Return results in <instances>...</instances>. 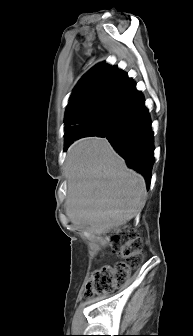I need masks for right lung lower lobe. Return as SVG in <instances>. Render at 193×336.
<instances>
[{
	"label": "right lung lower lobe",
	"instance_id": "obj_1",
	"mask_svg": "<svg viewBox=\"0 0 193 336\" xmlns=\"http://www.w3.org/2000/svg\"><path fill=\"white\" fill-rule=\"evenodd\" d=\"M95 136L106 137L128 167L140 172L150 187L154 163L153 131L144 98L135 84L115 104L102 130ZM65 145V149L69 146Z\"/></svg>",
	"mask_w": 193,
	"mask_h": 336
}]
</instances>
